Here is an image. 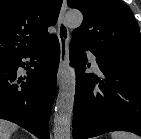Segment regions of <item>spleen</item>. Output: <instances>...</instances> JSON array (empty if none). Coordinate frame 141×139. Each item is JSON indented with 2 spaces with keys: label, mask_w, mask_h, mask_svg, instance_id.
I'll use <instances>...</instances> for the list:
<instances>
[{
  "label": "spleen",
  "mask_w": 141,
  "mask_h": 139,
  "mask_svg": "<svg viewBox=\"0 0 141 139\" xmlns=\"http://www.w3.org/2000/svg\"><path fill=\"white\" fill-rule=\"evenodd\" d=\"M111 139H141L135 134H131L128 132H112Z\"/></svg>",
  "instance_id": "spleen-1"
}]
</instances>
